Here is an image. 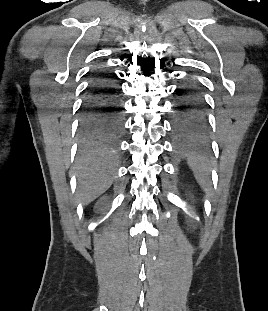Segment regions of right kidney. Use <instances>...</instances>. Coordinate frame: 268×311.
I'll list each match as a JSON object with an SVG mask.
<instances>
[{
    "mask_svg": "<svg viewBox=\"0 0 268 311\" xmlns=\"http://www.w3.org/2000/svg\"><path fill=\"white\" fill-rule=\"evenodd\" d=\"M108 200V196L101 197L95 205V210L100 211L102 214L105 212V204Z\"/></svg>",
    "mask_w": 268,
    "mask_h": 311,
    "instance_id": "ca27d5eb",
    "label": "right kidney"
}]
</instances>
